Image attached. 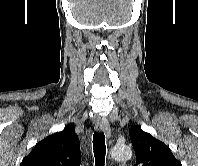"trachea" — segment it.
<instances>
[{
    "label": "trachea",
    "instance_id": "trachea-1",
    "mask_svg": "<svg viewBox=\"0 0 198 166\" xmlns=\"http://www.w3.org/2000/svg\"><path fill=\"white\" fill-rule=\"evenodd\" d=\"M93 150L96 166H104L106 145L104 132H95L93 135Z\"/></svg>",
    "mask_w": 198,
    "mask_h": 166
}]
</instances>
